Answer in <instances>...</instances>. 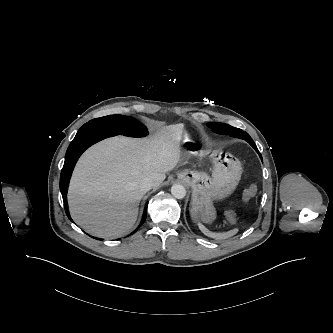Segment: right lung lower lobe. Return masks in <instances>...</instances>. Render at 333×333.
Here are the masks:
<instances>
[{
    "label": "right lung lower lobe",
    "mask_w": 333,
    "mask_h": 333,
    "mask_svg": "<svg viewBox=\"0 0 333 333\" xmlns=\"http://www.w3.org/2000/svg\"><path fill=\"white\" fill-rule=\"evenodd\" d=\"M117 135L116 132H111V131H106V130H90L86 132H78L69 145L66 155H65V162L63 169L61 171V176H60V191L63 197L64 201V206H65V211L67 216L70 218L69 211H68V205H67V199H66V194H67V188L69 184V180L71 177V173L73 171V168L80 157V155L91 145L94 143L110 137V136H115ZM147 215V206L144 209V214L142 221L139 225V227L144 223ZM138 227V228H139ZM137 228V229H138ZM136 229V230H137Z\"/></svg>",
    "instance_id": "obj_1"
}]
</instances>
